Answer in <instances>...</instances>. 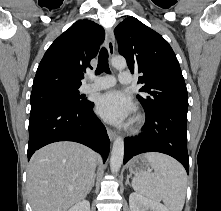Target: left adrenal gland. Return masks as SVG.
<instances>
[{"label":"left adrenal gland","instance_id":"a2214340","mask_svg":"<svg viewBox=\"0 0 221 211\" xmlns=\"http://www.w3.org/2000/svg\"><path fill=\"white\" fill-rule=\"evenodd\" d=\"M129 178H130V175H127V179H126L125 185H130Z\"/></svg>","mask_w":221,"mask_h":211}]
</instances>
